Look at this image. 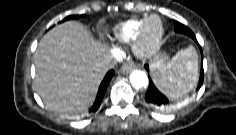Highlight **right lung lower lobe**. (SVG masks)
<instances>
[{
	"label": "right lung lower lobe",
	"mask_w": 236,
	"mask_h": 135,
	"mask_svg": "<svg viewBox=\"0 0 236 135\" xmlns=\"http://www.w3.org/2000/svg\"><path fill=\"white\" fill-rule=\"evenodd\" d=\"M115 74V71L114 70H110L106 76L104 77L100 87H99V91H98V94H97V97H96V100L93 104V106L90 108V112H94L96 111L99 107H100V104H101V101L104 97V94L107 90V87L109 85V82L111 80V78L113 77V75Z\"/></svg>",
	"instance_id": "obj_1"
}]
</instances>
